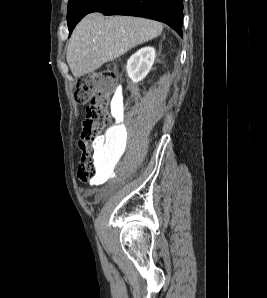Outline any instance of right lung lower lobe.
Returning <instances> with one entry per match:
<instances>
[{
  "label": "right lung lower lobe",
  "mask_w": 267,
  "mask_h": 298,
  "mask_svg": "<svg viewBox=\"0 0 267 298\" xmlns=\"http://www.w3.org/2000/svg\"><path fill=\"white\" fill-rule=\"evenodd\" d=\"M91 12L158 20L166 23L182 36V0H99Z\"/></svg>",
  "instance_id": "right-lung-lower-lobe-1"
}]
</instances>
